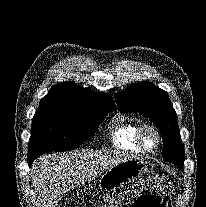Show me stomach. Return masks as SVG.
<instances>
[{
    "label": "stomach",
    "mask_w": 206,
    "mask_h": 207,
    "mask_svg": "<svg viewBox=\"0 0 206 207\" xmlns=\"http://www.w3.org/2000/svg\"><path fill=\"white\" fill-rule=\"evenodd\" d=\"M148 171V162L142 158L125 160L107 170L99 180L102 191L109 192L122 188L124 185L143 176Z\"/></svg>",
    "instance_id": "stomach-1"
}]
</instances>
